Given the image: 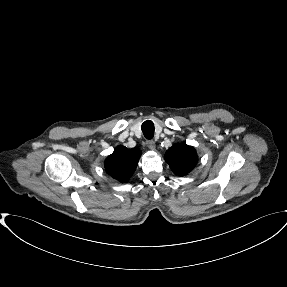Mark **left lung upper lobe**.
Returning <instances> with one entry per match:
<instances>
[{
  "label": "left lung upper lobe",
  "mask_w": 287,
  "mask_h": 287,
  "mask_svg": "<svg viewBox=\"0 0 287 287\" xmlns=\"http://www.w3.org/2000/svg\"><path fill=\"white\" fill-rule=\"evenodd\" d=\"M164 158L178 176H184L192 171L198 160L194 147L186 144L173 145L167 150Z\"/></svg>",
  "instance_id": "left-lung-upper-lobe-1"
}]
</instances>
